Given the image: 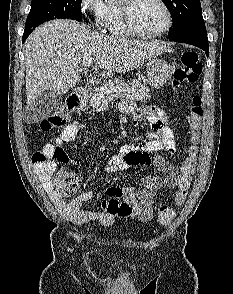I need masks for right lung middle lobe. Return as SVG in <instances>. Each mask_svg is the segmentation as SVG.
I'll list each match as a JSON object with an SVG mask.
<instances>
[{"mask_svg":"<svg viewBox=\"0 0 233 294\" xmlns=\"http://www.w3.org/2000/svg\"><path fill=\"white\" fill-rule=\"evenodd\" d=\"M82 0H32V7L25 24L26 31L52 19L67 18L82 21Z\"/></svg>","mask_w":233,"mask_h":294,"instance_id":"right-lung-middle-lobe-1","label":"right lung middle lobe"}]
</instances>
